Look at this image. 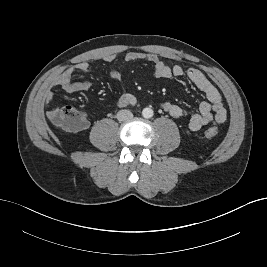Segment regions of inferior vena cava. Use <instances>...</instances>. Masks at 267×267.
<instances>
[{
  "label": "inferior vena cava",
  "instance_id": "1",
  "mask_svg": "<svg viewBox=\"0 0 267 267\" xmlns=\"http://www.w3.org/2000/svg\"><path fill=\"white\" fill-rule=\"evenodd\" d=\"M132 118H133V114L129 110H120L117 113V119L120 122L121 121H128V120H130Z\"/></svg>",
  "mask_w": 267,
  "mask_h": 267
}]
</instances>
